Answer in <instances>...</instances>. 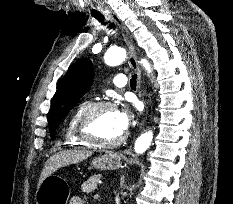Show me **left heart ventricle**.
<instances>
[{
  "mask_svg": "<svg viewBox=\"0 0 233 204\" xmlns=\"http://www.w3.org/2000/svg\"><path fill=\"white\" fill-rule=\"evenodd\" d=\"M90 132L101 140H114L122 136L115 109H105L97 113L90 125Z\"/></svg>",
  "mask_w": 233,
  "mask_h": 204,
  "instance_id": "1",
  "label": "left heart ventricle"
}]
</instances>
